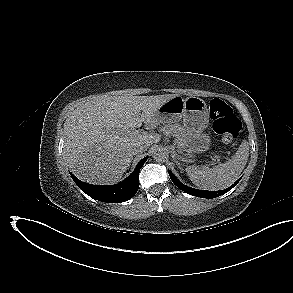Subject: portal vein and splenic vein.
<instances>
[{"label":"portal vein and splenic vein","instance_id":"18ae733b","mask_svg":"<svg viewBox=\"0 0 293 293\" xmlns=\"http://www.w3.org/2000/svg\"><path fill=\"white\" fill-rule=\"evenodd\" d=\"M212 160H213V162H214V161H216V160L219 161L220 159H219L218 156H214V157L212 158Z\"/></svg>","mask_w":293,"mask_h":293}]
</instances>
